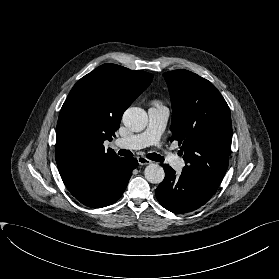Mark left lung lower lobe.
Here are the masks:
<instances>
[{
	"mask_svg": "<svg viewBox=\"0 0 279 279\" xmlns=\"http://www.w3.org/2000/svg\"><path fill=\"white\" fill-rule=\"evenodd\" d=\"M165 178L155 190L159 203L173 213H187L205 204L217 187L189 174L175 175L167 164L163 165Z\"/></svg>",
	"mask_w": 279,
	"mask_h": 279,
	"instance_id": "1",
	"label": "left lung lower lobe"
}]
</instances>
